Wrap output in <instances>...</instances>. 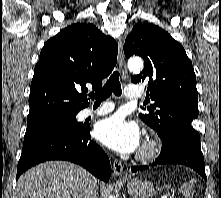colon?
Instances as JSON below:
<instances>
[{"instance_id":"obj_1","label":"colon","mask_w":221,"mask_h":198,"mask_svg":"<svg viewBox=\"0 0 221 198\" xmlns=\"http://www.w3.org/2000/svg\"><path fill=\"white\" fill-rule=\"evenodd\" d=\"M183 193L186 198H196L194 190H193V186L191 183H188L183 187Z\"/></svg>"}]
</instances>
